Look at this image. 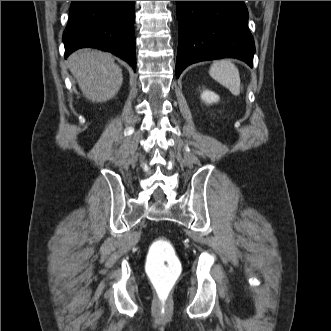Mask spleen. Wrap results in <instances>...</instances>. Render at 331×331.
<instances>
[{"label":"spleen","instance_id":"3e777b00","mask_svg":"<svg viewBox=\"0 0 331 331\" xmlns=\"http://www.w3.org/2000/svg\"><path fill=\"white\" fill-rule=\"evenodd\" d=\"M210 76L237 96L240 94L241 81L237 67L229 60L215 61L209 70Z\"/></svg>","mask_w":331,"mask_h":331}]
</instances>
